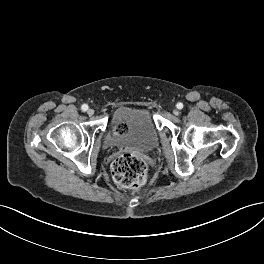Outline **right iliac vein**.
<instances>
[{
  "mask_svg": "<svg viewBox=\"0 0 264 264\" xmlns=\"http://www.w3.org/2000/svg\"><path fill=\"white\" fill-rule=\"evenodd\" d=\"M87 114H88L89 116H92V115L94 114V110H93V109H89V110L87 111Z\"/></svg>",
  "mask_w": 264,
  "mask_h": 264,
  "instance_id": "1",
  "label": "right iliac vein"
}]
</instances>
